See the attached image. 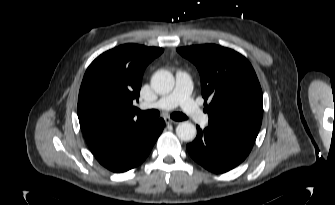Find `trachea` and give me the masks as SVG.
<instances>
[{"label":"trachea","mask_w":335,"mask_h":205,"mask_svg":"<svg viewBox=\"0 0 335 205\" xmlns=\"http://www.w3.org/2000/svg\"><path fill=\"white\" fill-rule=\"evenodd\" d=\"M137 114H140L142 116L146 117H158L160 115V112L158 110H147V111H141L139 109L136 110ZM171 118L176 121H182L188 119L186 115L180 112H174L171 114Z\"/></svg>","instance_id":"obj_1"}]
</instances>
